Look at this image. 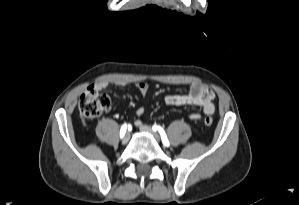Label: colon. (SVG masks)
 <instances>
[{
    "instance_id": "colon-1",
    "label": "colon",
    "mask_w": 299,
    "mask_h": 205,
    "mask_svg": "<svg viewBox=\"0 0 299 205\" xmlns=\"http://www.w3.org/2000/svg\"><path fill=\"white\" fill-rule=\"evenodd\" d=\"M110 105V98L106 93H101L93 87L88 88L79 101V112L83 122L92 120L102 115ZM206 126H211L213 119L210 116L204 118Z\"/></svg>"
}]
</instances>
